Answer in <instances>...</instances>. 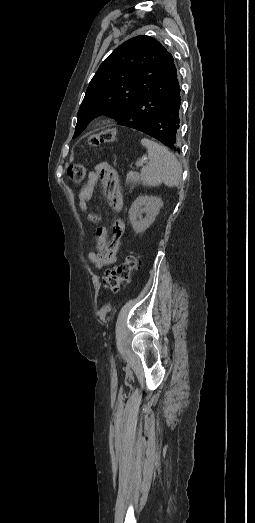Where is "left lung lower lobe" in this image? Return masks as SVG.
<instances>
[{
  "label": "left lung lower lobe",
  "instance_id": "obj_1",
  "mask_svg": "<svg viewBox=\"0 0 255 523\" xmlns=\"http://www.w3.org/2000/svg\"><path fill=\"white\" fill-rule=\"evenodd\" d=\"M176 92L172 93V96L160 110L161 115H152L153 121H148L140 127H134V129H141L146 132L147 135L155 137L159 144L165 148H169L170 151L175 152L178 150L179 145L177 143L179 136V119H180V106L184 103L181 98V90L175 89Z\"/></svg>",
  "mask_w": 255,
  "mask_h": 523
}]
</instances>
